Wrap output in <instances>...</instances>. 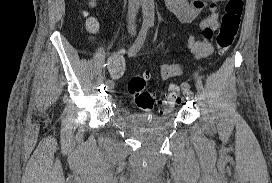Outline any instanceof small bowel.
Returning a JSON list of instances; mask_svg holds the SVG:
<instances>
[{
  "instance_id": "obj_1",
  "label": "small bowel",
  "mask_w": 272,
  "mask_h": 183,
  "mask_svg": "<svg viewBox=\"0 0 272 183\" xmlns=\"http://www.w3.org/2000/svg\"><path fill=\"white\" fill-rule=\"evenodd\" d=\"M224 0H167L169 10L183 23L192 24L205 8H209L210 14L200 22L201 36L204 39L192 37L187 47L193 53L195 59H203L213 53L211 39L217 36L219 15L217 3ZM125 63L120 53L109 59V71L114 78L122 76ZM181 73V66L175 63H165L160 67V75L163 80H169Z\"/></svg>"
}]
</instances>
